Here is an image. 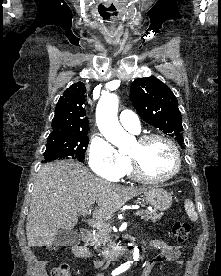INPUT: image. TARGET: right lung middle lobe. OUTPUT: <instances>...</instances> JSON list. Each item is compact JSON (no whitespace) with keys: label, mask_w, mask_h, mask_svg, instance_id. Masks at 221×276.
<instances>
[{"label":"right lung middle lobe","mask_w":221,"mask_h":276,"mask_svg":"<svg viewBox=\"0 0 221 276\" xmlns=\"http://www.w3.org/2000/svg\"><path fill=\"white\" fill-rule=\"evenodd\" d=\"M89 139L87 134L70 137H48L44 161L74 159L83 161Z\"/></svg>","instance_id":"dd1d6c3e"}]
</instances>
